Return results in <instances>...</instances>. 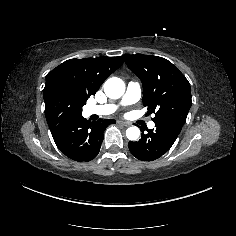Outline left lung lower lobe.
Returning <instances> with one entry per match:
<instances>
[{
	"mask_svg": "<svg viewBox=\"0 0 236 236\" xmlns=\"http://www.w3.org/2000/svg\"><path fill=\"white\" fill-rule=\"evenodd\" d=\"M156 129L148 130L138 142L130 141L131 153L139 160L154 161L164 155L174 144L183 124L176 121H161L155 123Z\"/></svg>",
	"mask_w": 236,
	"mask_h": 236,
	"instance_id": "1",
	"label": "left lung lower lobe"
}]
</instances>
